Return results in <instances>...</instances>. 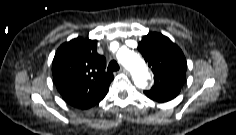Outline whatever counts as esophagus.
Returning <instances> with one entry per match:
<instances>
[{"mask_svg":"<svg viewBox=\"0 0 236 135\" xmlns=\"http://www.w3.org/2000/svg\"><path fill=\"white\" fill-rule=\"evenodd\" d=\"M120 71L122 73L128 74V70L125 67H121Z\"/></svg>","mask_w":236,"mask_h":135,"instance_id":"obj_1","label":"esophagus"}]
</instances>
